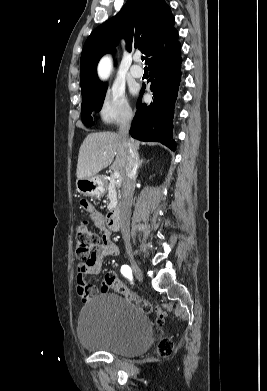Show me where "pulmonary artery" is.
Instances as JSON below:
<instances>
[{
    "mask_svg": "<svg viewBox=\"0 0 267 391\" xmlns=\"http://www.w3.org/2000/svg\"><path fill=\"white\" fill-rule=\"evenodd\" d=\"M139 60H140V57L135 56L134 57L135 64H133L130 68L131 75L136 78L142 77V75H143V69L137 64V62H139Z\"/></svg>",
    "mask_w": 267,
    "mask_h": 391,
    "instance_id": "obj_1",
    "label": "pulmonary artery"
}]
</instances>
